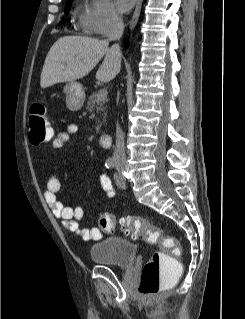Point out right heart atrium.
I'll use <instances>...</instances> for the list:
<instances>
[{"mask_svg":"<svg viewBox=\"0 0 245 319\" xmlns=\"http://www.w3.org/2000/svg\"><path fill=\"white\" fill-rule=\"evenodd\" d=\"M121 18L108 0H91L81 19L83 29L93 35H107L120 24Z\"/></svg>","mask_w":245,"mask_h":319,"instance_id":"d8ad5b80","label":"right heart atrium"}]
</instances>
